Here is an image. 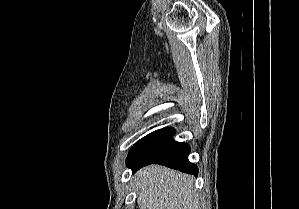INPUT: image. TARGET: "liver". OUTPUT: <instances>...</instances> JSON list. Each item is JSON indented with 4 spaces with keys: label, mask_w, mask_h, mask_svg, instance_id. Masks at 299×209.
Instances as JSON below:
<instances>
[{
    "label": "liver",
    "mask_w": 299,
    "mask_h": 209,
    "mask_svg": "<svg viewBox=\"0 0 299 209\" xmlns=\"http://www.w3.org/2000/svg\"><path fill=\"white\" fill-rule=\"evenodd\" d=\"M194 178L159 165L142 168L135 185L139 209H196Z\"/></svg>",
    "instance_id": "1"
}]
</instances>
